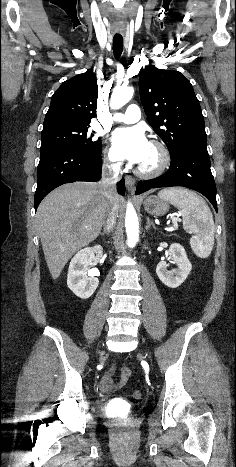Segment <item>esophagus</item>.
<instances>
[{
	"instance_id": "obj_1",
	"label": "esophagus",
	"mask_w": 236,
	"mask_h": 467,
	"mask_svg": "<svg viewBox=\"0 0 236 467\" xmlns=\"http://www.w3.org/2000/svg\"><path fill=\"white\" fill-rule=\"evenodd\" d=\"M126 188L129 192L133 193L135 189V179L131 176H125Z\"/></svg>"
}]
</instances>
